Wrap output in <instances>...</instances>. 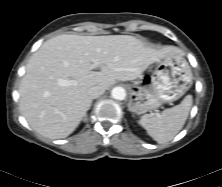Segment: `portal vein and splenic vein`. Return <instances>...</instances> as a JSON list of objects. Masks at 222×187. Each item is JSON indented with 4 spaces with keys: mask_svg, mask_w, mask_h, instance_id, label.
I'll return each mask as SVG.
<instances>
[{
    "mask_svg": "<svg viewBox=\"0 0 222 187\" xmlns=\"http://www.w3.org/2000/svg\"><path fill=\"white\" fill-rule=\"evenodd\" d=\"M58 83L62 86H69L72 84V81L60 79V80H58Z\"/></svg>",
    "mask_w": 222,
    "mask_h": 187,
    "instance_id": "1",
    "label": "portal vein and splenic vein"
}]
</instances>
